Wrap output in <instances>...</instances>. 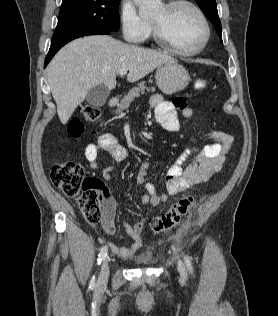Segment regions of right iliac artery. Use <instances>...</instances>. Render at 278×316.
<instances>
[{
    "mask_svg": "<svg viewBox=\"0 0 278 316\" xmlns=\"http://www.w3.org/2000/svg\"><path fill=\"white\" fill-rule=\"evenodd\" d=\"M107 247H102L100 250V253L98 255V264H101V262L104 260V258L107 255ZM91 283L94 284L95 283V278L93 277L91 280Z\"/></svg>",
    "mask_w": 278,
    "mask_h": 316,
    "instance_id": "1",
    "label": "right iliac artery"
}]
</instances>
